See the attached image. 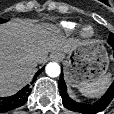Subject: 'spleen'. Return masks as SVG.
Instances as JSON below:
<instances>
[{"instance_id": "obj_1", "label": "spleen", "mask_w": 114, "mask_h": 114, "mask_svg": "<svg viewBox=\"0 0 114 114\" xmlns=\"http://www.w3.org/2000/svg\"><path fill=\"white\" fill-rule=\"evenodd\" d=\"M112 82L111 74L108 73L92 82H85L79 87V91L85 97L98 98L105 93Z\"/></svg>"}]
</instances>
